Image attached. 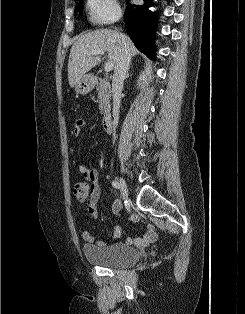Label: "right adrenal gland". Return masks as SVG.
I'll use <instances>...</instances> for the list:
<instances>
[{
  "instance_id": "right-adrenal-gland-1",
  "label": "right adrenal gland",
  "mask_w": 245,
  "mask_h": 314,
  "mask_svg": "<svg viewBox=\"0 0 245 314\" xmlns=\"http://www.w3.org/2000/svg\"><path fill=\"white\" fill-rule=\"evenodd\" d=\"M129 69H130V66L128 67L127 74H126V78L129 77V73H128Z\"/></svg>"
}]
</instances>
